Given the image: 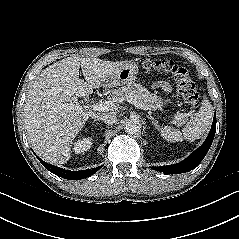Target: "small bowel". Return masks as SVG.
I'll use <instances>...</instances> for the list:
<instances>
[{"label": "small bowel", "mask_w": 239, "mask_h": 239, "mask_svg": "<svg viewBox=\"0 0 239 239\" xmlns=\"http://www.w3.org/2000/svg\"><path fill=\"white\" fill-rule=\"evenodd\" d=\"M160 85L165 91L170 90V85L168 83H161Z\"/></svg>", "instance_id": "small-bowel-1"}]
</instances>
